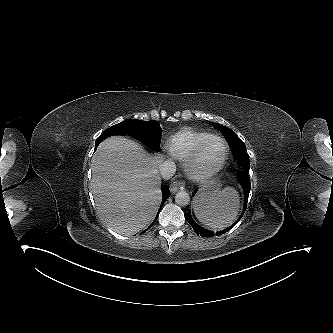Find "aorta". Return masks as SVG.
<instances>
[{
  "instance_id": "1",
  "label": "aorta",
  "mask_w": 333,
  "mask_h": 333,
  "mask_svg": "<svg viewBox=\"0 0 333 333\" xmlns=\"http://www.w3.org/2000/svg\"><path fill=\"white\" fill-rule=\"evenodd\" d=\"M175 202L179 206H187L190 202V196L185 191H179L175 196Z\"/></svg>"
}]
</instances>
